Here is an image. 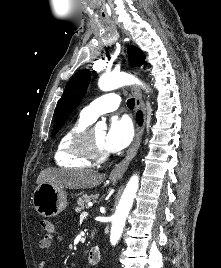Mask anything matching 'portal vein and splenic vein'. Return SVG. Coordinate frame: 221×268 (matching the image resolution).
<instances>
[{
    "mask_svg": "<svg viewBox=\"0 0 221 268\" xmlns=\"http://www.w3.org/2000/svg\"><path fill=\"white\" fill-rule=\"evenodd\" d=\"M88 214H89L88 212L84 211V212L81 213L80 217L81 218H86L88 216Z\"/></svg>",
    "mask_w": 221,
    "mask_h": 268,
    "instance_id": "obj_1",
    "label": "portal vein and splenic vein"
}]
</instances>
